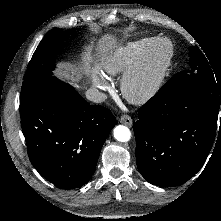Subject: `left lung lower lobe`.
Listing matches in <instances>:
<instances>
[{
  "label": "left lung lower lobe",
  "instance_id": "0a47b994",
  "mask_svg": "<svg viewBox=\"0 0 221 221\" xmlns=\"http://www.w3.org/2000/svg\"><path fill=\"white\" fill-rule=\"evenodd\" d=\"M220 104L221 83L214 77H173L162 86L133 124L142 176L157 186H177L193 177L218 132Z\"/></svg>",
  "mask_w": 221,
  "mask_h": 221
}]
</instances>
